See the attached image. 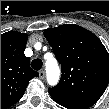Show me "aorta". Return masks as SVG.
<instances>
[{
  "label": "aorta",
  "instance_id": "1",
  "mask_svg": "<svg viewBox=\"0 0 109 109\" xmlns=\"http://www.w3.org/2000/svg\"><path fill=\"white\" fill-rule=\"evenodd\" d=\"M46 79L50 86L57 85L60 79V68L55 58H51L45 63Z\"/></svg>",
  "mask_w": 109,
  "mask_h": 109
}]
</instances>
